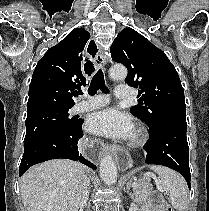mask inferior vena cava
<instances>
[{
	"instance_id": "1",
	"label": "inferior vena cava",
	"mask_w": 209,
	"mask_h": 211,
	"mask_svg": "<svg viewBox=\"0 0 209 211\" xmlns=\"http://www.w3.org/2000/svg\"><path fill=\"white\" fill-rule=\"evenodd\" d=\"M89 181L88 178L85 180L83 184V191H82V202L86 203L89 197Z\"/></svg>"
}]
</instances>
